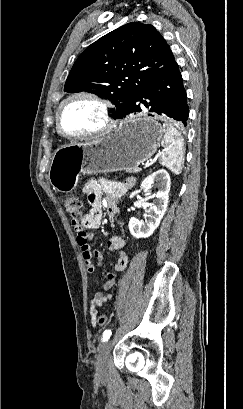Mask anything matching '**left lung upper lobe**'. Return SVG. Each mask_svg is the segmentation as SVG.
Listing matches in <instances>:
<instances>
[{"label": "left lung upper lobe", "mask_w": 243, "mask_h": 409, "mask_svg": "<svg viewBox=\"0 0 243 409\" xmlns=\"http://www.w3.org/2000/svg\"><path fill=\"white\" fill-rule=\"evenodd\" d=\"M175 62L170 46L154 26L131 22L86 48L74 63L64 90L85 89L111 100L117 108L113 117L120 119L129 114L144 87Z\"/></svg>", "instance_id": "5c2ea615"}]
</instances>
